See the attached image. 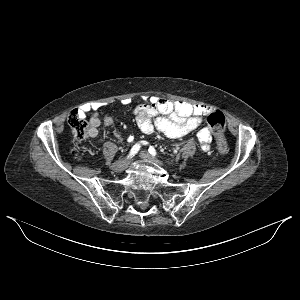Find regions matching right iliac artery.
Here are the masks:
<instances>
[{"instance_id": "82829eb1", "label": "right iliac artery", "mask_w": 300, "mask_h": 300, "mask_svg": "<svg viewBox=\"0 0 300 300\" xmlns=\"http://www.w3.org/2000/svg\"><path fill=\"white\" fill-rule=\"evenodd\" d=\"M140 149V144H135L132 149L130 150V153L128 155V158H132Z\"/></svg>"}]
</instances>
